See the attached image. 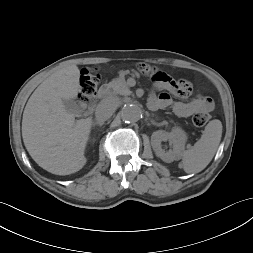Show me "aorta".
I'll list each match as a JSON object with an SVG mask.
<instances>
[{
	"mask_svg": "<svg viewBox=\"0 0 253 253\" xmlns=\"http://www.w3.org/2000/svg\"><path fill=\"white\" fill-rule=\"evenodd\" d=\"M142 116V110L137 104H125L121 110V118L128 123L137 122Z\"/></svg>",
	"mask_w": 253,
	"mask_h": 253,
	"instance_id": "1",
	"label": "aorta"
}]
</instances>
